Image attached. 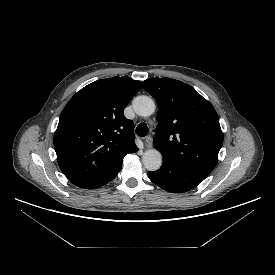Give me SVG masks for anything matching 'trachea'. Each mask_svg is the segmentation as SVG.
<instances>
[{
    "instance_id": "obj_1",
    "label": "trachea",
    "mask_w": 275,
    "mask_h": 275,
    "mask_svg": "<svg viewBox=\"0 0 275 275\" xmlns=\"http://www.w3.org/2000/svg\"><path fill=\"white\" fill-rule=\"evenodd\" d=\"M148 133V126L146 123H140L137 127H136V134L141 136V137H145Z\"/></svg>"
}]
</instances>
